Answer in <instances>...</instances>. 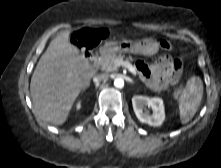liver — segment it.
<instances>
[{"mask_svg": "<svg viewBox=\"0 0 221 168\" xmlns=\"http://www.w3.org/2000/svg\"><path fill=\"white\" fill-rule=\"evenodd\" d=\"M69 34V31L61 32L50 42L30 83L36 112L42 120L55 125L67 120L78 95L95 75L84 56L69 42Z\"/></svg>", "mask_w": 221, "mask_h": 168, "instance_id": "6515ba94", "label": "liver"}]
</instances>
